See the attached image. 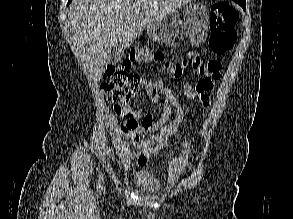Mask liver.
I'll return each instance as SVG.
<instances>
[{
    "mask_svg": "<svg viewBox=\"0 0 293 219\" xmlns=\"http://www.w3.org/2000/svg\"><path fill=\"white\" fill-rule=\"evenodd\" d=\"M192 0H72L68 12L71 40L88 76L99 81L107 52L130 47L143 29L172 15Z\"/></svg>",
    "mask_w": 293,
    "mask_h": 219,
    "instance_id": "1",
    "label": "liver"
}]
</instances>
